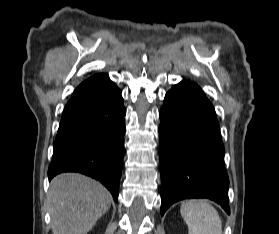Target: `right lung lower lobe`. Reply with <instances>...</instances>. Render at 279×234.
<instances>
[{"mask_svg":"<svg viewBox=\"0 0 279 234\" xmlns=\"http://www.w3.org/2000/svg\"><path fill=\"white\" fill-rule=\"evenodd\" d=\"M121 90L107 74L82 82L66 104L48 177L79 172L103 183L118 201L125 120Z\"/></svg>","mask_w":279,"mask_h":234,"instance_id":"1","label":"right lung lower lobe"}]
</instances>
